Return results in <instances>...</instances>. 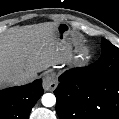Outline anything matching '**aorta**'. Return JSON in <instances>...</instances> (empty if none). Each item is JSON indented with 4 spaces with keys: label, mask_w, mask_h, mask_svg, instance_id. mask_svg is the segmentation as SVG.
I'll list each match as a JSON object with an SVG mask.
<instances>
[{
    "label": "aorta",
    "mask_w": 119,
    "mask_h": 119,
    "mask_svg": "<svg viewBox=\"0 0 119 119\" xmlns=\"http://www.w3.org/2000/svg\"><path fill=\"white\" fill-rule=\"evenodd\" d=\"M56 103V97L52 93H46L42 96V104L45 107H52Z\"/></svg>",
    "instance_id": "obj_1"
}]
</instances>
